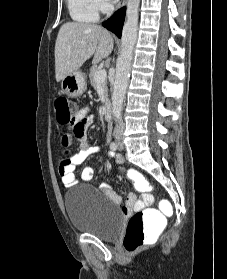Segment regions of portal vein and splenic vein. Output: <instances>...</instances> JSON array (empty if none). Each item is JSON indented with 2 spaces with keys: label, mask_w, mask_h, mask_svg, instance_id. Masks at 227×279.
<instances>
[{
  "label": "portal vein and splenic vein",
  "mask_w": 227,
  "mask_h": 279,
  "mask_svg": "<svg viewBox=\"0 0 227 279\" xmlns=\"http://www.w3.org/2000/svg\"><path fill=\"white\" fill-rule=\"evenodd\" d=\"M107 73L105 69H99L95 74V81L102 82L106 79Z\"/></svg>",
  "instance_id": "1"
}]
</instances>
